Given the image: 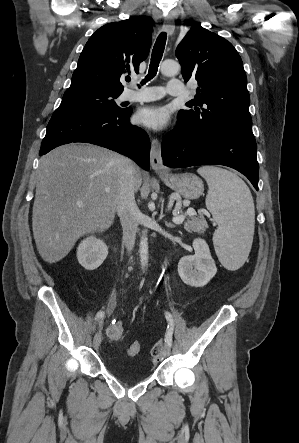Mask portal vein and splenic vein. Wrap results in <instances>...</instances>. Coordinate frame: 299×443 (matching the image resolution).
<instances>
[{"label": "portal vein and splenic vein", "mask_w": 299, "mask_h": 443, "mask_svg": "<svg viewBox=\"0 0 299 443\" xmlns=\"http://www.w3.org/2000/svg\"><path fill=\"white\" fill-rule=\"evenodd\" d=\"M77 205H78L79 207H82V206H83V204L80 203V202H78ZM186 214H187L188 216H193V215L196 214V212H195L194 210H188V211L186 212ZM184 219H185V218H184L183 216H180V215H178V214L176 213V214H175V217L173 218V222H174L175 224L179 225V224H182V223H183Z\"/></svg>", "instance_id": "18ae733b"}]
</instances>
